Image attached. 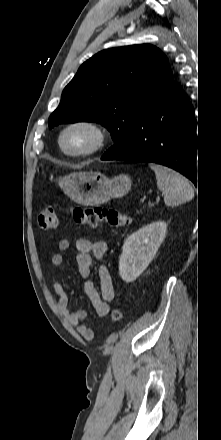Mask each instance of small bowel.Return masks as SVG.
<instances>
[{
    "instance_id": "obj_1",
    "label": "small bowel",
    "mask_w": 221,
    "mask_h": 440,
    "mask_svg": "<svg viewBox=\"0 0 221 440\" xmlns=\"http://www.w3.org/2000/svg\"><path fill=\"white\" fill-rule=\"evenodd\" d=\"M71 246L70 239H62L59 242L60 252L51 257L54 267H60L64 263L61 252L67 251ZM77 254L76 265L79 275L86 280L85 293L98 316L104 317L110 311V302L114 299L112 277L107 267L100 266L98 269V287L91 280L93 258L103 259L107 253V244L104 241L91 242L86 238H79L75 242ZM52 288L57 297V307L67 321L77 328L79 334L86 340L94 338V330L85 324L88 314L83 309L72 311L69 308V297L64 286L57 280H53Z\"/></svg>"
}]
</instances>
